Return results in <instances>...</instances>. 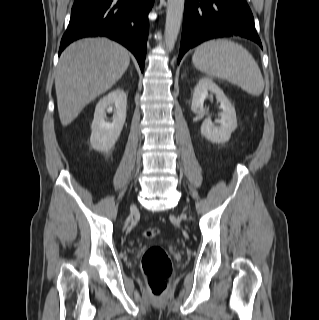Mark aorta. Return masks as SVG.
Segmentation results:
<instances>
[{"label":"aorta","instance_id":"aorta-1","mask_svg":"<svg viewBox=\"0 0 319 320\" xmlns=\"http://www.w3.org/2000/svg\"><path fill=\"white\" fill-rule=\"evenodd\" d=\"M185 0H167L164 43L171 51L177 40L183 17Z\"/></svg>","mask_w":319,"mask_h":320}]
</instances>
